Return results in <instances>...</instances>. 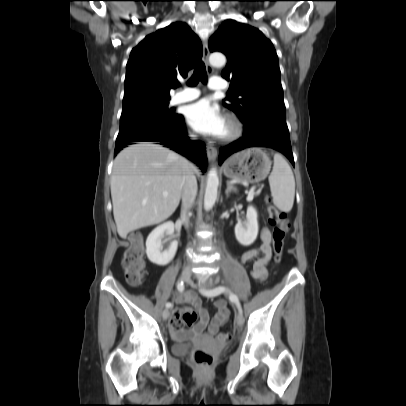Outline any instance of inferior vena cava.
<instances>
[{
  "instance_id": "1",
  "label": "inferior vena cava",
  "mask_w": 406,
  "mask_h": 406,
  "mask_svg": "<svg viewBox=\"0 0 406 406\" xmlns=\"http://www.w3.org/2000/svg\"><path fill=\"white\" fill-rule=\"evenodd\" d=\"M195 135H191L195 139ZM197 195V181L192 167L188 164L184 167L182 176V208H181V221L187 227L189 224L188 212L192 207Z\"/></svg>"
}]
</instances>
